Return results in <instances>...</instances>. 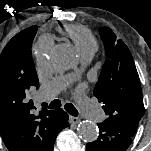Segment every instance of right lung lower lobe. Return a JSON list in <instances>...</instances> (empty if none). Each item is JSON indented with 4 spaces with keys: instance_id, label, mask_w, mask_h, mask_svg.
<instances>
[{
    "instance_id": "right-lung-lower-lobe-1",
    "label": "right lung lower lobe",
    "mask_w": 151,
    "mask_h": 151,
    "mask_svg": "<svg viewBox=\"0 0 151 151\" xmlns=\"http://www.w3.org/2000/svg\"><path fill=\"white\" fill-rule=\"evenodd\" d=\"M68 118H69L68 114L64 112L62 109L54 110L49 127V130L54 136L53 145L58 133L62 131L64 128L68 127ZM51 151H53V146Z\"/></svg>"
}]
</instances>
